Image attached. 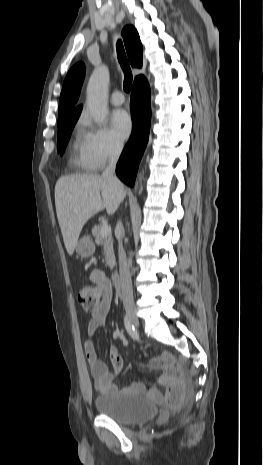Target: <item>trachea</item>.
I'll return each instance as SVG.
<instances>
[{"label": "trachea", "instance_id": "trachea-1", "mask_svg": "<svg viewBox=\"0 0 263 465\" xmlns=\"http://www.w3.org/2000/svg\"><path fill=\"white\" fill-rule=\"evenodd\" d=\"M117 57L119 63L124 71V82H123V89L125 92H130L132 86V72L130 69V65L128 59L125 54V50L123 47V43L119 40L117 42Z\"/></svg>", "mask_w": 263, "mask_h": 465}]
</instances>
